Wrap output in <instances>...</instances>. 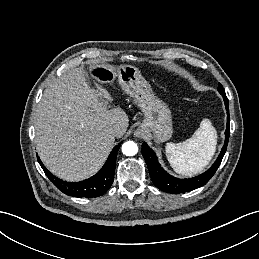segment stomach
Returning a JSON list of instances; mask_svg holds the SVG:
<instances>
[{"mask_svg":"<svg viewBox=\"0 0 259 259\" xmlns=\"http://www.w3.org/2000/svg\"><path fill=\"white\" fill-rule=\"evenodd\" d=\"M87 75L100 84L112 83L117 77L121 88L135 98L144 114L136 134L151 135L157 143L171 138V111L154 95L150 84L142 77L138 68L130 65L115 67L108 63L92 64L88 67Z\"/></svg>","mask_w":259,"mask_h":259,"instance_id":"0dacf381","label":"stomach"}]
</instances>
